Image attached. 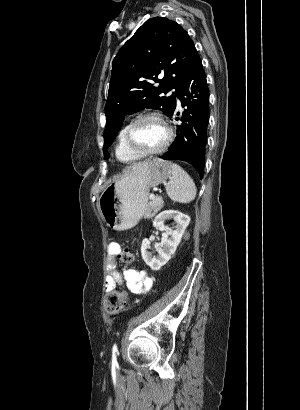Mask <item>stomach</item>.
Segmentation results:
<instances>
[{"mask_svg":"<svg viewBox=\"0 0 300 410\" xmlns=\"http://www.w3.org/2000/svg\"><path fill=\"white\" fill-rule=\"evenodd\" d=\"M171 171L170 162L155 159L130 168L108 186L99 198V209L107 225L118 231L134 227L146 210L150 188L169 178Z\"/></svg>","mask_w":300,"mask_h":410,"instance_id":"1","label":"stomach"}]
</instances>
